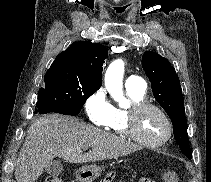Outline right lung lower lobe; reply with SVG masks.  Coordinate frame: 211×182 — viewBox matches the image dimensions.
<instances>
[{"instance_id":"obj_1","label":"right lung lower lobe","mask_w":211,"mask_h":182,"mask_svg":"<svg viewBox=\"0 0 211 182\" xmlns=\"http://www.w3.org/2000/svg\"><path fill=\"white\" fill-rule=\"evenodd\" d=\"M50 112H56V113H61L64 115H73L66 111L63 107H61L59 104H57L55 101L52 99H38L37 102V109L35 113H40V114H46Z\"/></svg>"}]
</instances>
